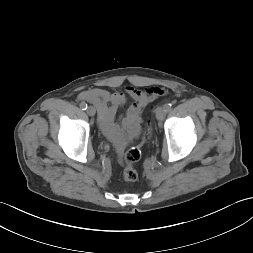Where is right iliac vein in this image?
Wrapping results in <instances>:
<instances>
[{
    "instance_id": "1",
    "label": "right iliac vein",
    "mask_w": 253,
    "mask_h": 253,
    "mask_svg": "<svg viewBox=\"0 0 253 253\" xmlns=\"http://www.w3.org/2000/svg\"><path fill=\"white\" fill-rule=\"evenodd\" d=\"M87 114L88 115H90V116H94L95 115V113H96V110H95V108L93 107V106H89L88 108H87Z\"/></svg>"
}]
</instances>
